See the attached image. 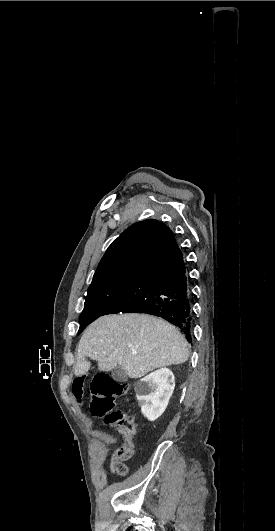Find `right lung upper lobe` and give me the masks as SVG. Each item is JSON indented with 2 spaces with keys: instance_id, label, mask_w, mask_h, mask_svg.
<instances>
[{
  "instance_id": "right-lung-upper-lobe-1",
  "label": "right lung upper lobe",
  "mask_w": 275,
  "mask_h": 531,
  "mask_svg": "<svg viewBox=\"0 0 275 531\" xmlns=\"http://www.w3.org/2000/svg\"><path fill=\"white\" fill-rule=\"evenodd\" d=\"M173 239L171 229L157 220L133 224L108 247L92 281L128 267L147 266Z\"/></svg>"
}]
</instances>
